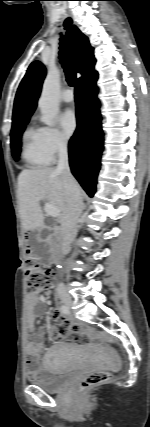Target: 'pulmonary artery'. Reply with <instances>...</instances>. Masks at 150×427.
<instances>
[{
    "mask_svg": "<svg viewBox=\"0 0 150 427\" xmlns=\"http://www.w3.org/2000/svg\"><path fill=\"white\" fill-rule=\"evenodd\" d=\"M74 99L73 93L71 90L67 89L62 94V100L64 102H72Z\"/></svg>",
    "mask_w": 150,
    "mask_h": 427,
    "instance_id": "1",
    "label": "pulmonary artery"
}]
</instances>
